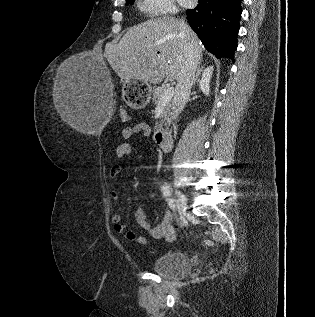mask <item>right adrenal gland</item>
Masks as SVG:
<instances>
[{
  "instance_id": "2a0ac1e0",
  "label": "right adrenal gland",
  "mask_w": 315,
  "mask_h": 317,
  "mask_svg": "<svg viewBox=\"0 0 315 317\" xmlns=\"http://www.w3.org/2000/svg\"><path fill=\"white\" fill-rule=\"evenodd\" d=\"M201 65V60H200V62H199V64H198V68H197V72H196V75H195V78H194V82H193V84L195 85L197 82H199V76H200V74H201V72H202V70H203V66L201 67L200 66Z\"/></svg>"
}]
</instances>
